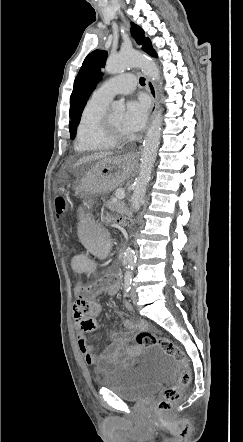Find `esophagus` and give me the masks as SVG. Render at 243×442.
<instances>
[{"instance_id": "esophagus-1", "label": "esophagus", "mask_w": 243, "mask_h": 442, "mask_svg": "<svg viewBox=\"0 0 243 442\" xmlns=\"http://www.w3.org/2000/svg\"><path fill=\"white\" fill-rule=\"evenodd\" d=\"M123 20L126 22L125 19H123ZM146 84H147L149 95H150L151 101H152L151 110H150V122H151L152 119L154 118L156 110H157V92H156L155 85H154L153 81L150 78L146 79ZM138 157H139V153L138 152L132 153L130 155V159L131 160H136Z\"/></svg>"}]
</instances>
